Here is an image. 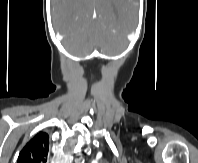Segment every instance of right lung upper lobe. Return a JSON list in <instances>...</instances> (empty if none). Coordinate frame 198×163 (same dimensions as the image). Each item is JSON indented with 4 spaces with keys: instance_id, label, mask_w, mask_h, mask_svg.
<instances>
[{
    "instance_id": "cb5924a9",
    "label": "right lung upper lobe",
    "mask_w": 198,
    "mask_h": 163,
    "mask_svg": "<svg viewBox=\"0 0 198 163\" xmlns=\"http://www.w3.org/2000/svg\"><path fill=\"white\" fill-rule=\"evenodd\" d=\"M49 149V136L39 132L22 149L17 163H46Z\"/></svg>"
}]
</instances>
